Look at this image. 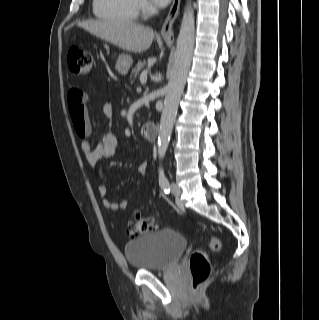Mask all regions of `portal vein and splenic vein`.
Listing matches in <instances>:
<instances>
[{
  "mask_svg": "<svg viewBox=\"0 0 319 320\" xmlns=\"http://www.w3.org/2000/svg\"><path fill=\"white\" fill-rule=\"evenodd\" d=\"M146 81H147V70L143 71L140 76L141 83H146Z\"/></svg>",
  "mask_w": 319,
  "mask_h": 320,
  "instance_id": "obj_1",
  "label": "portal vein and splenic vein"
}]
</instances>
